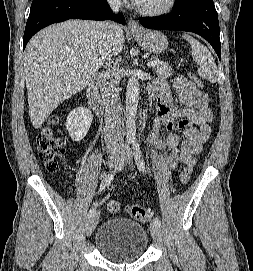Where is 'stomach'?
<instances>
[{"label":"stomach","mask_w":253,"mask_h":271,"mask_svg":"<svg viewBox=\"0 0 253 271\" xmlns=\"http://www.w3.org/2000/svg\"><path fill=\"white\" fill-rule=\"evenodd\" d=\"M135 40L146 50L161 53L168 47L167 37L160 31L143 30L140 34H132Z\"/></svg>","instance_id":"stomach-1"}]
</instances>
